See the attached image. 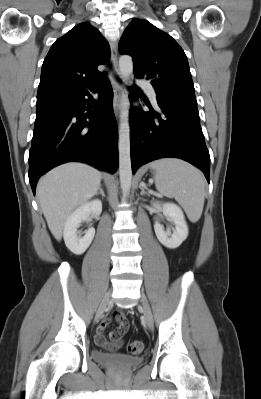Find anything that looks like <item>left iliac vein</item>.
<instances>
[{
    "label": "left iliac vein",
    "mask_w": 261,
    "mask_h": 399,
    "mask_svg": "<svg viewBox=\"0 0 261 399\" xmlns=\"http://www.w3.org/2000/svg\"><path fill=\"white\" fill-rule=\"evenodd\" d=\"M141 306L143 309V315H144L146 325L149 329H152V327H153L152 311H151V308H150V305H149L147 299L143 295L141 296Z\"/></svg>",
    "instance_id": "left-iliac-vein-1"
}]
</instances>
